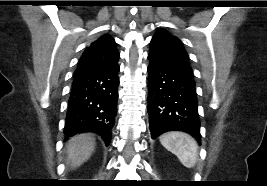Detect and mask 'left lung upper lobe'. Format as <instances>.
Here are the masks:
<instances>
[{
    "label": "left lung upper lobe",
    "mask_w": 267,
    "mask_h": 186,
    "mask_svg": "<svg viewBox=\"0 0 267 186\" xmlns=\"http://www.w3.org/2000/svg\"><path fill=\"white\" fill-rule=\"evenodd\" d=\"M150 45V56L191 77L194 76L189 56L183 43L177 37L164 30H158L153 36Z\"/></svg>",
    "instance_id": "obj_1"
}]
</instances>
